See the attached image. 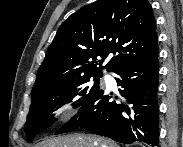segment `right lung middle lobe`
Masks as SVG:
<instances>
[{
    "instance_id": "1",
    "label": "right lung middle lobe",
    "mask_w": 183,
    "mask_h": 147,
    "mask_svg": "<svg viewBox=\"0 0 183 147\" xmlns=\"http://www.w3.org/2000/svg\"><path fill=\"white\" fill-rule=\"evenodd\" d=\"M102 75H86L73 79L61 80L45 87L32 90V103L25 124L27 140L33 138L52 125L55 112L72 102L74 108L82 106L100 88Z\"/></svg>"
}]
</instances>
